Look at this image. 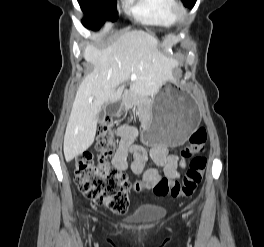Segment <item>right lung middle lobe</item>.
Returning a JSON list of instances; mask_svg holds the SVG:
<instances>
[{"label":"right lung middle lobe","mask_w":264,"mask_h":247,"mask_svg":"<svg viewBox=\"0 0 264 247\" xmlns=\"http://www.w3.org/2000/svg\"><path fill=\"white\" fill-rule=\"evenodd\" d=\"M86 19L84 26L91 29H98L106 19L115 21L117 19L116 0H78Z\"/></svg>","instance_id":"right-lung-middle-lobe-1"}]
</instances>
